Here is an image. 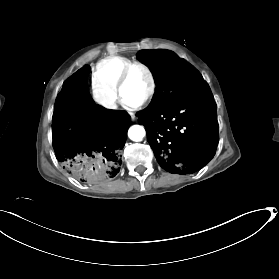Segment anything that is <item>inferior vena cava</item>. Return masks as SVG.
Wrapping results in <instances>:
<instances>
[{
	"label": "inferior vena cava",
	"mask_w": 279,
	"mask_h": 279,
	"mask_svg": "<svg viewBox=\"0 0 279 279\" xmlns=\"http://www.w3.org/2000/svg\"><path fill=\"white\" fill-rule=\"evenodd\" d=\"M115 101L110 100L107 102L106 107L111 109H116V104H114Z\"/></svg>",
	"instance_id": "obj_1"
}]
</instances>
